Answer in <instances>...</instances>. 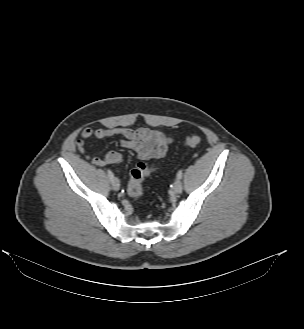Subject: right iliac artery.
<instances>
[{"label":"right iliac artery","mask_w":304,"mask_h":329,"mask_svg":"<svg viewBox=\"0 0 304 329\" xmlns=\"http://www.w3.org/2000/svg\"><path fill=\"white\" fill-rule=\"evenodd\" d=\"M107 175H108V177H109V179H110V181H111V183H112L113 180H114V175H113V173H112L110 170H107Z\"/></svg>","instance_id":"1"}]
</instances>
